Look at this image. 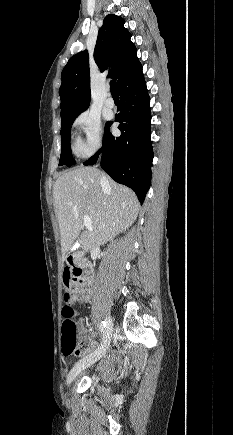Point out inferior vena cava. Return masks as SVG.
Returning <instances> with one entry per match:
<instances>
[{
    "mask_svg": "<svg viewBox=\"0 0 233 435\" xmlns=\"http://www.w3.org/2000/svg\"><path fill=\"white\" fill-rule=\"evenodd\" d=\"M102 180H105V176L104 175H102Z\"/></svg>",
    "mask_w": 233,
    "mask_h": 435,
    "instance_id": "602c4592",
    "label": "inferior vena cava"
}]
</instances>
